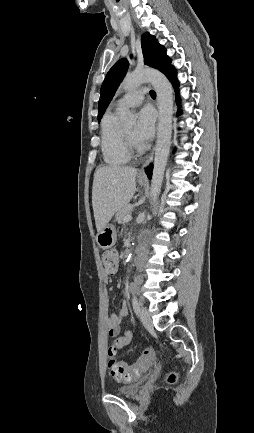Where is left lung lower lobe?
Masks as SVG:
<instances>
[{"instance_id": "0a47b994", "label": "left lung lower lobe", "mask_w": 254, "mask_h": 433, "mask_svg": "<svg viewBox=\"0 0 254 433\" xmlns=\"http://www.w3.org/2000/svg\"><path fill=\"white\" fill-rule=\"evenodd\" d=\"M163 73L171 81V83L173 84L175 90L177 91L179 83H178L177 78H176V70H175V68L170 65L167 69H165L163 71ZM176 101H177V103H179V96H178V94H177V97H176ZM146 173L148 174V177L150 179L151 175H152V166H150V167H148L146 169Z\"/></svg>"}]
</instances>
